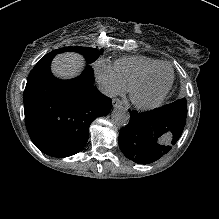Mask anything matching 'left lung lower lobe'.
<instances>
[{
    "mask_svg": "<svg viewBox=\"0 0 219 219\" xmlns=\"http://www.w3.org/2000/svg\"><path fill=\"white\" fill-rule=\"evenodd\" d=\"M129 112L130 121L119 134V147L127 158L139 164L151 163L169 152L186 123V118L161 108Z\"/></svg>",
    "mask_w": 219,
    "mask_h": 219,
    "instance_id": "obj_1",
    "label": "left lung lower lobe"
}]
</instances>
